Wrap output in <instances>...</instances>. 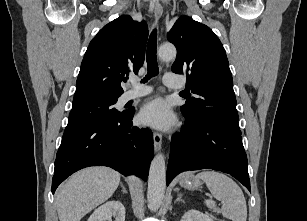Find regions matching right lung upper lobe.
Here are the masks:
<instances>
[{"label":"right lung upper lobe","mask_w":307,"mask_h":221,"mask_svg":"<svg viewBox=\"0 0 307 221\" xmlns=\"http://www.w3.org/2000/svg\"><path fill=\"white\" fill-rule=\"evenodd\" d=\"M147 37V24L127 15L105 25L84 55L73 104L118 99L123 76L137 74L144 62Z\"/></svg>","instance_id":"obj_1"}]
</instances>
